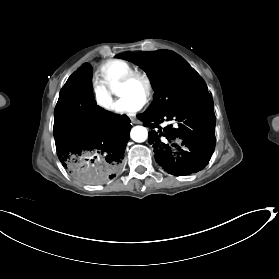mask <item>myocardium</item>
Returning <instances> with one entry per match:
<instances>
[{
  "instance_id": "1",
  "label": "myocardium",
  "mask_w": 279,
  "mask_h": 279,
  "mask_svg": "<svg viewBox=\"0 0 279 279\" xmlns=\"http://www.w3.org/2000/svg\"><path fill=\"white\" fill-rule=\"evenodd\" d=\"M140 82L144 86V101H149L153 94V85L150 77L143 72L132 70L126 73L118 82L117 89L122 86L131 85L133 83Z\"/></svg>"
}]
</instances>
